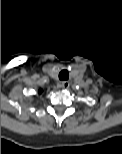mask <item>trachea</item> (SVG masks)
Masks as SVG:
<instances>
[{
	"instance_id": "trachea-1",
	"label": "trachea",
	"mask_w": 122,
	"mask_h": 154,
	"mask_svg": "<svg viewBox=\"0 0 122 154\" xmlns=\"http://www.w3.org/2000/svg\"><path fill=\"white\" fill-rule=\"evenodd\" d=\"M69 78V73L67 70H62L60 73H59V79L62 80V81H66L68 80Z\"/></svg>"
}]
</instances>
